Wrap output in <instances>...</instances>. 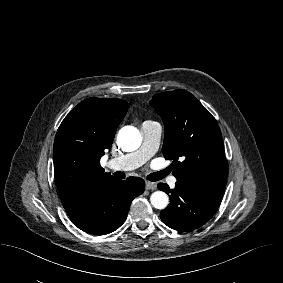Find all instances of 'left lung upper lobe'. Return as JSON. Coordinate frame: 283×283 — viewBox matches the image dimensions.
Returning a JSON list of instances; mask_svg holds the SVG:
<instances>
[{
	"label": "left lung upper lobe",
	"mask_w": 283,
	"mask_h": 283,
	"mask_svg": "<svg viewBox=\"0 0 283 283\" xmlns=\"http://www.w3.org/2000/svg\"><path fill=\"white\" fill-rule=\"evenodd\" d=\"M150 104L165 124L162 151L173 160L172 174L207 194L222 196L227 168L215 118L183 89L155 94Z\"/></svg>",
	"instance_id": "obj_1"
}]
</instances>
